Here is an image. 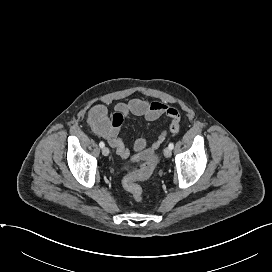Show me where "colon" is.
Instances as JSON below:
<instances>
[{
    "mask_svg": "<svg viewBox=\"0 0 272 272\" xmlns=\"http://www.w3.org/2000/svg\"><path fill=\"white\" fill-rule=\"evenodd\" d=\"M89 118L97 130L104 129L107 126H120L123 121L121 114L115 112L109 116L107 110L101 105H97L91 109ZM152 171L153 164L148 162L143 164L136 172L127 175L123 179V187L135 201L141 202L143 199V191L138 182L148 179Z\"/></svg>",
    "mask_w": 272,
    "mask_h": 272,
    "instance_id": "colon-1",
    "label": "colon"
}]
</instances>
